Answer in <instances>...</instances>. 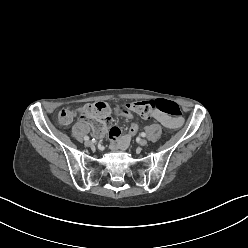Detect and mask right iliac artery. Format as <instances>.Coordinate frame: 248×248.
Here are the masks:
<instances>
[{
	"label": "right iliac artery",
	"instance_id": "obj_1",
	"mask_svg": "<svg viewBox=\"0 0 248 248\" xmlns=\"http://www.w3.org/2000/svg\"><path fill=\"white\" fill-rule=\"evenodd\" d=\"M84 140H89V137H88V136H85V137H84Z\"/></svg>",
	"mask_w": 248,
	"mask_h": 248
}]
</instances>
